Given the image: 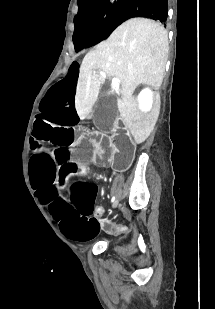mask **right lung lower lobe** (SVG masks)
<instances>
[{"mask_svg": "<svg viewBox=\"0 0 215 309\" xmlns=\"http://www.w3.org/2000/svg\"><path fill=\"white\" fill-rule=\"evenodd\" d=\"M168 16V0H132L123 10L116 25L134 17H146L165 23Z\"/></svg>", "mask_w": 215, "mask_h": 309, "instance_id": "right-lung-lower-lobe-1", "label": "right lung lower lobe"}]
</instances>
